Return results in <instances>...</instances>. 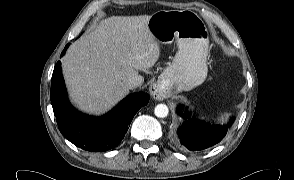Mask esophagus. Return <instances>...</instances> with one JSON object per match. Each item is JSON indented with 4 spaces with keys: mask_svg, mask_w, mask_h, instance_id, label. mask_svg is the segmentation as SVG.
Wrapping results in <instances>:
<instances>
[{
    "mask_svg": "<svg viewBox=\"0 0 294 180\" xmlns=\"http://www.w3.org/2000/svg\"><path fill=\"white\" fill-rule=\"evenodd\" d=\"M150 95L153 99L161 101L165 98V90L163 86L157 83H153L149 87Z\"/></svg>",
    "mask_w": 294,
    "mask_h": 180,
    "instance_id": "1",
    "label": "esophagus"
}]
</instances>
